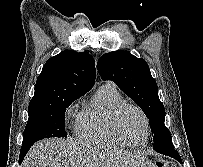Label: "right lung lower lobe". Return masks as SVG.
I'll return each mask as SVG.
<instances>
[{
	"label": "right lung lower lobe",
	"instance_id": "obj_1",
	"mask_svg": "<svg viewBox=\"0 0 203 167\" xmlns=\"http://www.w3.org/2000/svg\"><path fill=\"white\" fill-rule=\"evenodd\" d=\"M34 144L33 142L25 143L22 144L21 151H20V157H19V162L21 163L22 160L24 159L25 155L29 151L30 147Z\"/></svg>",
	"mask_w": 203,
	"mask_h": 167
}]
</instances>
